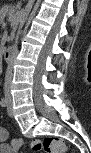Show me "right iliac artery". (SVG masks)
I'll list each match as a JSON object with an SVG mask.
<instances>
[{"label": "right iliac artery", "instance_id": "obj_1", "mask_svg": "<svg viewBox=\"0 0 91 153\" xmlns=\"http://www.w3.org/2000/svg\"><path fill=\"white\" fill-rule=\"evenodd\" d=\"M0 105H1L2 107H6V106H7V99H6V97H3V98L1 99Z\"/></svg>", "mask_w": 91, "mask_h": 153}]
</instances>
